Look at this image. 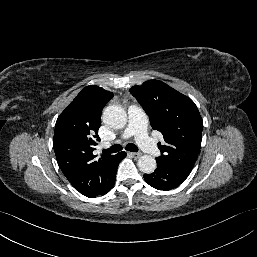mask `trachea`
Listing matches in <instances>:
<instances>
[{
    "instance_id": "1",
    "label": "trachea",
    "mask_w": 257,
    "mask_h": 257,
    "mask_svg": "<svg viewBox=\"0 0 257 257\" xmlns=\"http://www.w3.org/2000/svg\"><path fill=\"white\" fill-rule=\"evenodd\" d=\"M125 149L128 151H131V152H138V147L133 143L127 144ZM121 150H122V146L120 144H115V145L111 146L109 149H103L102 152L104 154H110V153L119 152Z\"/></svg>"
}]
</instances>
